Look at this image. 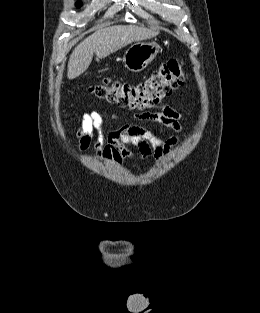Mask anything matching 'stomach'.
Segmentation results:
<instances>
[{
    "label": "stomach",
    "mask_w": 260,
    "mask_h": 313,
    "mask_svg": "<svg viewBox=\"0 0 260 313\" xmlns=\"http://www.w3.org/2000/svg\"><path fill=\"white\" fill-rule=\"evenodd\" d=\"M160 49L156 42H136L126 50L123 64L131 72H141L155 59Z\"/></svg>",
    "instance_id": "stomach-1"
}]
</instances>
